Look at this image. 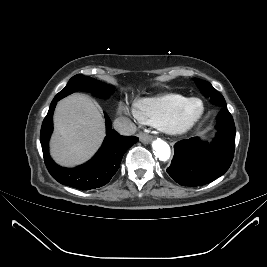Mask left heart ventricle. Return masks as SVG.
Returning a JSON list of instances; mask_svg holds the SVG:
<instances>
[{
  "instance_id": "left-heart-ventricle-1",
  "label": "left heart ventricle",
  "mask_w": 267,
  "mask_h": 267,
  "mask_svg": "<svg viewBox=\"0 0 267 267\" xmlns=\"http://www.w3.org/2000/svg\"><path fill=\"white\" fill-rule=\"evenodd\" d=\"M201 110V104L198 101L190 102L181 115V121H189L196 117Z\"/></svg>"
}]
</instances>
